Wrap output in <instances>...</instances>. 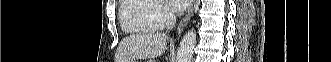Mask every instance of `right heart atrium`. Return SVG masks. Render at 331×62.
Instances as JSON below:
<instances>
[{"label": "right heart atrium", "instance_id": "d8ad5b80", "mask_svg": "<svg viewBox=\"0 0 331 62\" xmlns=\"http://www.w3.org/2000/svg\"><path fill=\"white\" fill-rule=\"evenodd\" d=\"M174 18L172 11L163 5H156L153 10V20L157 26L164 27Z\"/></svg>", "mask_w": 331, "mask_h": 62}]
</instances>
